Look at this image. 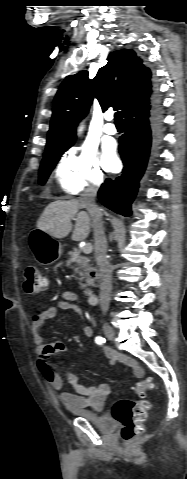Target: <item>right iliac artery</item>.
I'll use <instances>...</instances> for the list:
<instances>
[{
  "mask_svg": "<svg viewBox=\"0 0 187 479\" xmlns=\"http://www.w3.org/2000/svg\"><path fill=\"white\" fill-rule=\"evenodd\" d=\"M95 342H96L98 345H102L103 343L106 342V340H105V338L98 336V337L95 338Z\"/></svg>",
  "mask_w": 187,
  "mask_h": 479,
  "instance_id": "1",
  "label": "right iliac artery"
}]
</instances>
